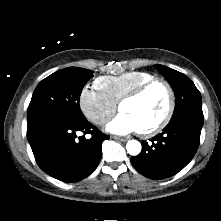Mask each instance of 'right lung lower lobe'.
<instances>
[{
    "label": "right lung lower lobe",
    "instance_id": "98d812e1",
    "mask_svg": "<svg viewBox=\"0 0 221 221\" xmlns=\"http://www.w3.org/2000/svg\"><path fill=\"white\" fill-rule=\"evenodd\" d=\"M84 135L77 137V132ZM90 133V139L85 134ZM27 138L39 167L63 182H76L89 176L102 155L101 133L82 117L49 115L27 122Z\"/></svg>",
    "mask_w": 221,
    "mask_h": 221
}]
</instances>
